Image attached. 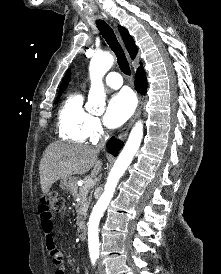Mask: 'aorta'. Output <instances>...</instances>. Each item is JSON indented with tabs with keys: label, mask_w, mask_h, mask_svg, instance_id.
I'll return each instance as SVG.
<instances>
[{
	"label": "aorta",
	"mask_w": 221,
	"mask_h": 274,
	"mask_svg": "<svg viewBox=\"0 0 221 274\" xmlns=\"http://www.w3.org/2000/svg\"><path fill=\"white\" fill-rule=\"evenodd\" d=\"M114 63L110 54L93 57L89 66L91 87L88 95V105L103 108L105 104V93L102 78ZM143 137V122L137 121L132 128L129 138L119 154L104 187V192L94 206L88 222V245L90 254H99V222L107 208L119 179L122 177L137 150Z\"/></svg>",
	"instance_id": "762f6f07"
}]
</instances>
